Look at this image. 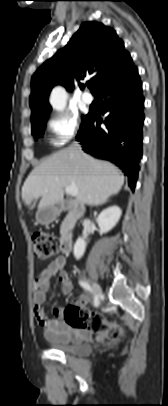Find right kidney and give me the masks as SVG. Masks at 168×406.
Segmentation results:
<instances>
[{
    "label": "right kidney",
    "instance_id": "1",
    "mask_svg": "<svg viewBox=\"0 0 168 406\" xmlns=\"http://www.w3.org/2000/svg\"><path fill=\"white\" fill-rule=\"evenodd\" d=\"M122 211L118 206H111L103 210L97 218L101 234L110 231L119 221ZM86 249V241L79 237L74 245L73 253L76 259H80Z\"/></svg>",
    "mask_w": 168,
    "mask_h": 406
}]
</instances>
